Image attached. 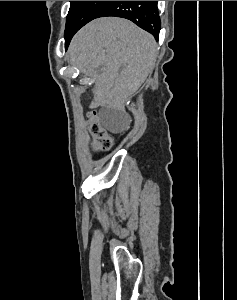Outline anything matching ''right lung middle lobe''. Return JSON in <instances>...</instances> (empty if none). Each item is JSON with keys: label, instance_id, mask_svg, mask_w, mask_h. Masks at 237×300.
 Returning <instances> with one entry per match:
<instances>
[{"label": "right lung middle lobe", "instance_id": "1", "mask_svg": "<svg viewBox=\"0 0 237 300\" xmlns=\"http://www.w3.org/2000/svg\"><path fill=\"white\" fill-rule=\"evenodd\" d=\"M65 28L66 47L73 35L86 23L97 18L111 1H70Z\"/></svg>", "mask_w": 237, "mask_h": 300}]
</instances>
